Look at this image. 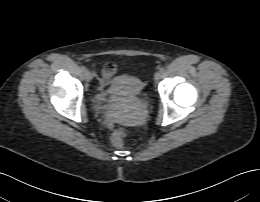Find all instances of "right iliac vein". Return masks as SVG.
Segmentation results:
<instances>
[{"label":"right iliac vein","instance_id":"right-iliac-vein-1","mask_svg":"<svg viewBox=\"0 0 260 202\" xmlns=\"http://www.w3.org/2000/svg\"><path fill=\"white\" fill-rule=\"evenodd\" d=\"M84 78H85L86 81H91V79H92V73H91L89 70H86V71L84 72Z\"/></svg>","mask_w":260,"mask_h":202}]
</instances>
